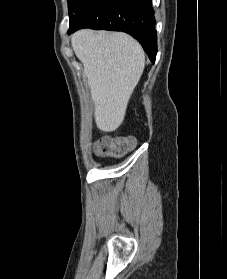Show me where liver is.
<instances>
[{"instance_id": "6515ba94", "label": "liver", "mask_w": 227, "mask_h": 279, "mask_svg": "<svg viewBox=\"0 0 227 279\" xmlns=\"http://www.w3.org/2000/svg\"><path fill=\"white\" fill-rule=\"evenodd\" d=\"M71 44L87 77L96 126L104 132L116 130L145 67L141 45L122 32L90 29L74 33Z\"/></svg>"}]
</instances>
